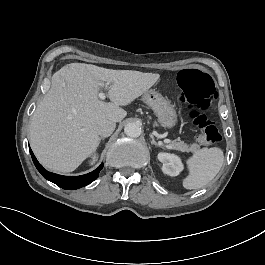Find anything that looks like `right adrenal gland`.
Here are the masks:
<instances>
[{
  "mask_svg": "<svg viewBox=\"0 0 265 265\" xmlns=\"http://www.w3.org/2000/svg\"><path fill=\"white\" fill-rule=\"evenodd\" d=\"M100 140H104V137L100 138ZM94 157H97V154L94 153Z\"/></svg>",
  "mask_w": 265,
  "mask_h": 265,
  "instance_id": "2a0ac1e0",
  "label": "right adrenal gland"
}]
</instances>
